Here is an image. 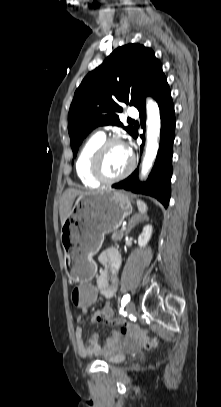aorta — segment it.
I'll return each mask as SVG.
<instances>
[{
  "label": "aorta",
  "instance_id": "aorta-1",
  "mask_svg": "<svg viewBox=\"0 0 221 407\" xmlns=\"http://www.w3.org/2000/svg\"><path fill=\"white\" fill-rule=\"evenodd\" d=\"M160 111L157 103L152 99H147V145L144 160L142 163V176L145 177L152 168L156 158L160 136Z\"/></svg>",
  "mask_w": 221,
  "mask_h": 407
}]
</instances>
